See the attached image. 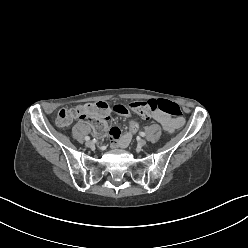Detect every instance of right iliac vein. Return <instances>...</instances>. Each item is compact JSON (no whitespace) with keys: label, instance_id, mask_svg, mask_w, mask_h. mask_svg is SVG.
Masks as SVG:
<instances>
[{"label":"right iliac vein","instance_id":"63e3f726","mask_svg":"<svg viewBox=\"0 0 248 248\" xmlns=\"http://www.w3.org/2000/svg\"><path fill=\"white\" fill-rule=\"evenodd\" d=\"M93 145H94V143H93L92 141H90V140H88V141L86 142V146H87V147H93Z\"/></svg>","mask_w":248,"mask_h":248}]
</instances>
